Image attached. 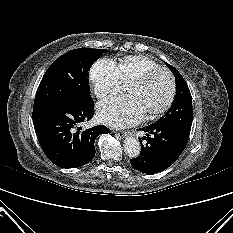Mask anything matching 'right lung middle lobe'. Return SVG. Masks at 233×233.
I'll list each match as a JSON object with an SVG mask.
<instances>
[{
	"mask_svg": "<svg viewBox=\"0 0 233 233\" xmlns=\"http://www.w3.org/2000/svg\"><path fill=\"white\" fill-rule=\"evenodd\" d=\"M106 49L79 48L60 56L45 72L37 89L33 110L89 100L87 74Z\"/></svg>",
	"mask_w": 233,
	"mask_h": 233,
	"instance_id": "obj_1",
	"label": "right lung middle lobe"
}]
</instances>
